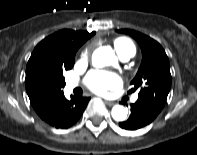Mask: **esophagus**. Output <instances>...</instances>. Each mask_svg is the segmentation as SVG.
<instances>
[{
	"label": "esophagus",
	"instance_id": "obj_1",
	"mask_svg": "<svg viewBox=\"0 0 197 155\" xmlns=\"http://www.w3.org/2000/svg\"><path fill=\"white\" fill-rule=\"evenodd\" d=\"M104 102L108 106H113L114 105V102H112V101L104 100Z\"/></svg>",
	"mask_w": 197,
	"mask_h": 155
}]
</instances>
